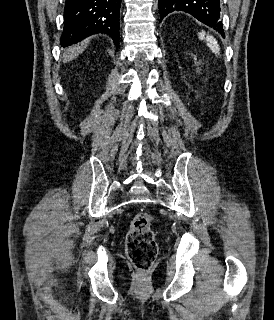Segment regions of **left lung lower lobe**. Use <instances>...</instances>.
<instances>
[{
    "mask_svg": "<svg viewBox=\"0 0 274 320\" xmlns=\"http://www.w3.org/2000/svg\"><path fill=\"white\" fill-rule=\"evenodd\" d=\"M159 11L160 22L173 11H185L225 37L219 20L220 0H159Z\"/></svg>",
    "mask_w": 274,
    "mask_h": 320,
    "instance_id": "1",
    "label": "left lung lower lobe"
}]
</instances>
